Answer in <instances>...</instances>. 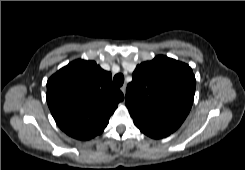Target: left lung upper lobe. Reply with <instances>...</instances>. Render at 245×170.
I'll use <instances>...</instances> for the list:
<instances>
[{
	"label": "left lung upper lobe",
	"mask_w": 245,
	"mask_h": 170,
	"mask_svg": "<svg viewBox=\"0 0 245 170\" xmlns=\"http://www.w3.org/2000/svg\"><path fill=\"white\" fill-rule=\"evenodd\" d=\"M126 90V106L135 124L174 132L187 117L196 80L189 65L163 55L143 62Z\"/></svg>",
	"instance_id": "1"
}]
</instances>
